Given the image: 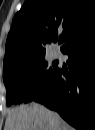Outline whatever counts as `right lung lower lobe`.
I'll return each instance as SVG.
<instances>
[{
  "label": "right lung lower lobe",
  "instance_id": "obj_1",
  "mask_svg": "<svg viewBox=\"0 0 95 130\" xmlns=\"http://www.w3.org/2000/svg\"><path fill=\"white\" fill-rule=\"evenodd\" d=\"M62 52L69 55L70 73L57 67L32 100L57 111L69 124L84 130L95 117V32L70 43Z\"/></svg>",
  "mask_w": 95,
  "mask_h": 130
}]
</instances>
